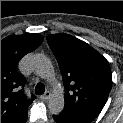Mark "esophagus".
I'll list each match as a JSON object with an SVG mask.
<instances>
[{"mask_svg": "<svg viewBox=\"0 0 123 123\" xmlns=\"http://www.w3.org/2000/svg\"><path fill=\"white\" fill-rule=\"evenodd\" d=\"M51 96L50 91H46L43 95L40 96L42 100H48Z\"/></svg>", "mask_w": 123, "mask_h": 123, "instance_id": "esophagus-1", "label": "esophagus"}]
</instances>
